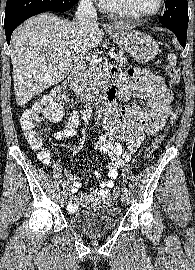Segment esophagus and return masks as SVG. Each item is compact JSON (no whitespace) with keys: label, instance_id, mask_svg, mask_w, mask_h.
<instances>
[{"label":"esophagus","instance_id":"34e87169","mask_svg":"<svg viewBox=\"0 0 195 270\" xmlns=\"http://www.w3.org/2000/svg\"><path fill=\"white\" fill-rule=\"evenodd\" d=\"M106 26H107L108 28H111V27H112L110 23H107Z\"/></svg>","mask_w":195,"mask_h":270}]
</instances>
